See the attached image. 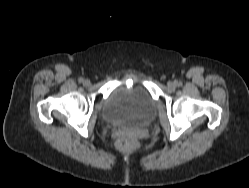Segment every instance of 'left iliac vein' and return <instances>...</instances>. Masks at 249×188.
I'll return each mask as SVG.
<instances>
[{
	"instance_id": "left-iliac-vein-1",
	"label": "left iliac vein",
	"mask_w": 249,
	"mask_h": 188,
	"mask_svg": "<svg viewBox=\"0 0 249 188\" xmlns=\"http://www.w3.org/2000/svg\"><path fill=\"white\" fill-rule=\"evenodd\" d=\"M168 87H169L170 89H174V88H175V84H174L173 82H169V83H168Z\"/></svg>"
}]
</instances>
